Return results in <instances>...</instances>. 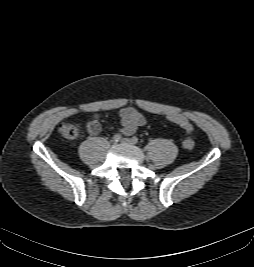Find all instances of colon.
<instances>
[{
  "label": "colon",
  "instance_id": "1",
  "mask_svg": "<svg viewBox=\"0 0 254 267\" xmlns=\"http://www.w3.org/2000/svg\"><path fill=\"white\" fill-rule=\"evenodd\" d=\"M167 118L170 122H173L179 125L185 130L186 136L182 142V145L185 149L192 150L195 146V142L193 138L191 137L193 126L189 122V120L183 115L176 114V113L169 114ZM60 133L62 134L64 138L71 140V141H76L83 137V132L81 130V127L77 124H72V123H65L61 125Z\"/></svg>",
  "mask_w": 254,
  "mask_h": 267
}]
</instances>
